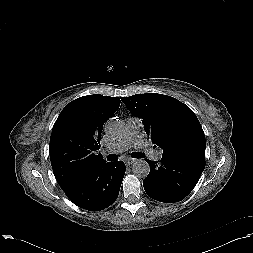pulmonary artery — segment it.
Listing matches in <instances>:
<instances>
[{
	"label": "pulmonary artery",
	"instance_id": "1",
	"mask_svg": "<svg viewBox=\"0 0 253 253\" xmlns=\"http://www.w3.org/2000/svg\"><path fill=\"white\" fill-rule=\"evenodd\" d=\"M143 144V130L140 120L128 118L126 120V129L123 136L104 150L105 154H120L131 147H140ZM163 151L154 150L151 157L155 161H160Z\"/></svg>",
	"mask_w": 253,
	"mask_h": 253
}]
</instances>
